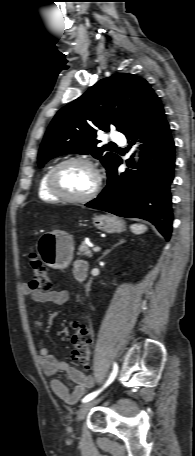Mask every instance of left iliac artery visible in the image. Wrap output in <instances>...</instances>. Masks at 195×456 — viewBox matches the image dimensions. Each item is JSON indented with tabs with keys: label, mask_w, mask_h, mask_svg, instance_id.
<instances>
[{
	"label": "left iliac artery",
	"mask_w": 195,
	"mask_h": 456,
	"mask_svg": "<svg viewBox=\"0 0 195 456\" xmlns=\"http://www.w3.org/2000/svg\"><path fill=\"white\" fill-rule=\"evenodd\" d=\"M117 372H118V366H117L116 363H114L113 371H112V373H111L109 379L107 380V382H106V384L104 385L103 388L107 387V386L115 379V377H116V375H117ZM103 388H102V389H103ZM102 389L97 390V391H95V392H92V393L88 394L87 396H85V397L83 398L82 402L85 403V402H88V401L94 399V398L102 391Z\"/></svg>",
	"instance_id": "1"
}]
</instances>
